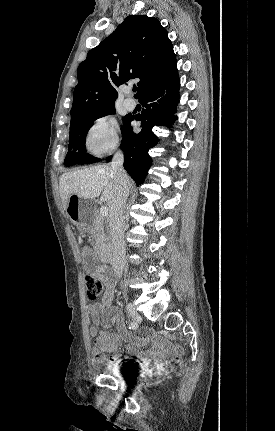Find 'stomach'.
Here are the masks:
<instances>
[{
  "label": "stomach",
  "instance_id": "obj_1",
  "mask_svg": "<svg viewBox=\"0 0 275 431\" xmlns=\"http://www.w3.org/2000/svg\"><path fill=\"white\" fill-rule=\"evenodd\" d=\"M93 209L91 200L71 195L68 200L66 214L80 231L88 232L93 226Z\"/></svg>",
  "mask_w": 275,
  "mask_h": 431
}]
</instances>
